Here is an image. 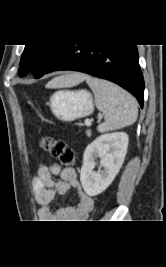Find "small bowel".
Listing matches in <instances>:
<instances>
[{"mask_svg":"<svg viewBox=\"0 0 166 267\" xmlns=\"http://www.w3.org/2000/svg\"><path fill=\"white\" fill-rule=\"evenodd\" d=\"M60 175L55 181L54 175ZM38 208V217L46 222H67L85 220L93 210L94 201L81 187L76 172L72 168L60 170L58 164L41 163L32 181ZM70 189L77 191V204L60 209H52L51 203L58 195L66 194Z\"/></svg>","mask_w":166,"mask_h":267,"instance_id":"1","label":"small bowel"}]
</instances>
